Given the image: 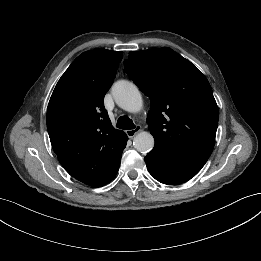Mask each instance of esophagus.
<instances>
[{
  "mask_svg": "<svg viewBox=\"0 0 261 261\" xmlns=\"http://www.w3.org/2000/svg\"><path fill=\"white\" fill-rule=\"evenodd\" d=\"M141 126L137 125L134 129L126 130V134L129 138L134 137L136 134H138L141 131Z\"/></svg>",
  "mask_w": 261,
  "mask_h": 261,
  "instance_id": "esophagus-1",
  "label": "esophagus"
}]
</instances>
